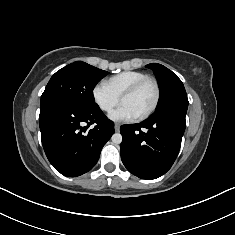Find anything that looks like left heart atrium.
Wrapping results in <instances>:
<instances>
[{"label": "left heart atrium", "instance_id": "obj_1", "mask_svg": "<svg viewBox=\"0 0 235 235\" xmlns=\"http://www.w3.org/2000/svg\"><path fill=\"white\" fill-rule=\"evenodd\" d=\"M109 117L117 122H131L136 120L138 116L128 105L121 104Z\"/></svg>", "mask_w": 235, "mask_h": 235}]
</instances>
